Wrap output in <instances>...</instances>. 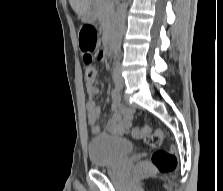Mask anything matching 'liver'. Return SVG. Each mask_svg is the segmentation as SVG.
I'll list each match as a JSON object with an SVG mask.
<instances>
[{
    "instance_id": "6515ba94",
    "label": "liver",
    "mask_w": 223,
    "mask_h": 191,
    "mask_svg": "<svg viewBox=\"0 0 223 191\" xmlns=\"http://www.w3.org/2000/svg\"><path fill=\"white\" fill-rule=\"evenodd\" d=\"M93 0H69L72 9L81 16L82 13L90 7Z\"/></svg>"
}]
</instances>
